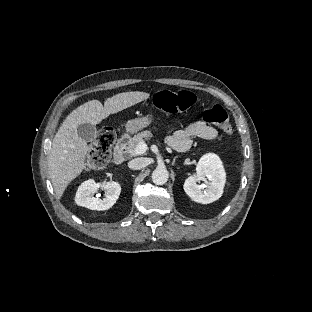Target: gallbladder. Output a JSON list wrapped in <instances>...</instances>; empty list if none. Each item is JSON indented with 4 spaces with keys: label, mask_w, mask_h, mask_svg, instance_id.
<instances>
[{
    "label": "gallbladder",
    "mask_w": 312,
    "mask_h": 312,
    "mask_svg": "<svg viewBox=\"0 0 312 312\" xmlns=\"http://www.w3.org/2000/svg\"><path fill=\"white\" fill-rule=\"evenodd\" d=\"M96 127L90 123H83L77 127V134L86 142H92L96 138Z\"/></svg>",
    "instance_id": "bac80fb5"
}]
</instances>
